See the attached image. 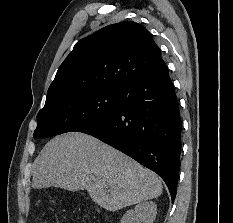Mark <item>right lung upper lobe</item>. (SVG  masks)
Instances as JSON below:
<instances>
[{
	"mask_svg": "<svg viewBox=\"0 0 233 223\" xmlns=\"http://www.w3.org/2000/svg\"><path fill=\"white\" fill-rule=\"evenodd\" d=\"M150 32L135 22L106 26L79 40L59 67L46 103L92 89L122 88L152 75L166 64Z\"/></svg>",
	"mask_w": 233,
	"mask_h": 223,
	"instance_id": "1",
	"label": "right lung upper lobe"
}]
</instances>
